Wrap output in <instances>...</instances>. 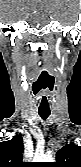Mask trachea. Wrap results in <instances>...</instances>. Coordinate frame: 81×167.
<instances>
[{
  "mask_svg": "<svg viewBox=\"0 0 81 167\" xmlns=\"http://www.w3.org/2000/svg\"><path fill=\"white\" fill-rule=\"evenodd\" d=\"M39 115L43 120H45L50 115V111H39Z\"/></svg>",
  "mask_w": 81,
  "mask_h": 167,
  "instance_id": "obj_1",
  "label": "trachea"
}]
</instances>
